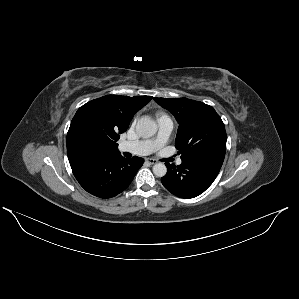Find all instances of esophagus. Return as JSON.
Masks as SVG:
<instances>
[{"instance_id":"esophagus-1","label":"esophagus","mask_w":299,"mask_h":299,"mask_svg":"<svg viewBox=\"0 0 299 299\" xmlns=\"http://www.w3.org/2000/svg\"><path fill=\"white\" fill-rule=\"evenodd\" d=\"M145 162H147L150 165L156 164L158 162V160L153 159V158H146Z\"/></svg>"}]
</instances>
